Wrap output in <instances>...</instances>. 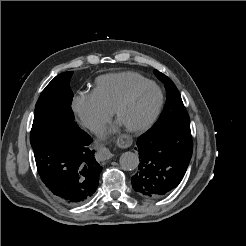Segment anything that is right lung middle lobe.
<instances>
[{
    "label": "right lung middle lobe",
    "mask_w": 246,
    "mask_h": 246,
    "mask_svg": "<svg viewBox=\"0 0 246 246\" xmlns=\"http://www.w3.org/2000/svg\"><path fill=\"white\" fill-rule=\"evenodd\" d=\"M72 74V71H68L57 75L40 94L30 133L31 144L50 130L67 127L74 122L71 109L73 93L69 88Z\"/></svg>",
    "instance_id": "obj_1"
}]
</instances>
